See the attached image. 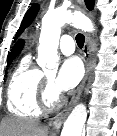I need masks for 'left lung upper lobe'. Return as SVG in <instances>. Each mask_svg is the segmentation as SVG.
<instances>
[{
	"label": "left lung upper lobe",
	"instance_id": "obj_1",
	"mask_svg": "<svg viewBox=\"0 0 117 136\" xmlns=\"http://www.w3.org/2000/svg\"><path fill=\"white\" fill-rule=\"evenodd\" d=\"M85 4L89 10H92L94 8V0H85ZM38 10H39L38 4H34L29 8V10L26 12L24 16V19L21 23L18 32L16 33L15 39H17V37L23 32V30L31 24L36 14L38 13Z\"/></svg>",
	"mask_w": 117,
	"mask_h": 136
}]
</instances>
